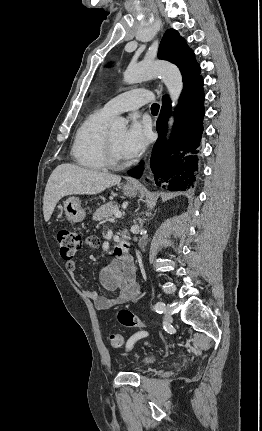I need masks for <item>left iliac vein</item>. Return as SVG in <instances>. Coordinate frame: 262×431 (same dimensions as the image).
<instances>
[{
  "mask_svg": "<svg viewBox=\"0 0 262 431\" xmlns=\"http://www.w3.org/2000/svg\"><path fill=\"white\" fill-rule=\"evenodd\" d=\"M164 320H165L166 324H171L172 323L171 309L169 307L165 308Z\"/></svg>",
  "mask_w": 262,
  "mask_h": 431,
  "instance_id": "obj_1",
  "label": "left iliac vein"
}]
</instances>
